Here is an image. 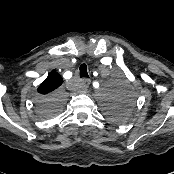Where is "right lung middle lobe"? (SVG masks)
Returning a JSON list of instances; mask_svg holds the SVG:
<instances>
[{
  "mask_svg": "<svg viewBox=\"0 0 174 174\" xmlns=\"http://www.w3.org/2000/svg\"><path fill=\"white\" fill-rule=\"evenodd\" d=\"M63 98L58 92L44 94L36 103L37 114L40 118H50L61 111Z\"/></svg>",
  "mask_w": 174,
  "mask_h": 174,
  "instance_id": "dd1d6c3e",
  "label": "right lung middle lobe"
}]
</instances>
